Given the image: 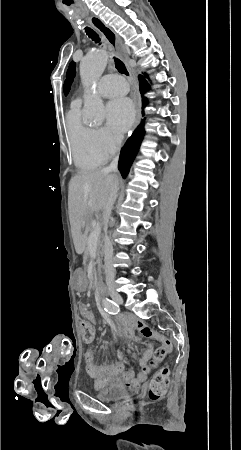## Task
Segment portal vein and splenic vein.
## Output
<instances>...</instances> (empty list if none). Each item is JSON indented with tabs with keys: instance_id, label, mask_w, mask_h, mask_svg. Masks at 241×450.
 Masks as SVG:
<instances>
[{
	"instance_id": "portal-vein-and-splenic-vein-1",
	"label": "portal vein and splenic vein",
	"mask_w": 241,
	"mask_h": 450,
	"mask_svg": "<svg viewBox=\"0 0 241 450\" xmlns=\"http://www.w3.org/2000/svg\"><path fill=\"white\" fill-rule=\"evenodd\" d=\"M100 234H101V226L100 224H96V226H94L93 228V232H91L88 238V242H97Z\"/></svg>"
}]
</instances>
